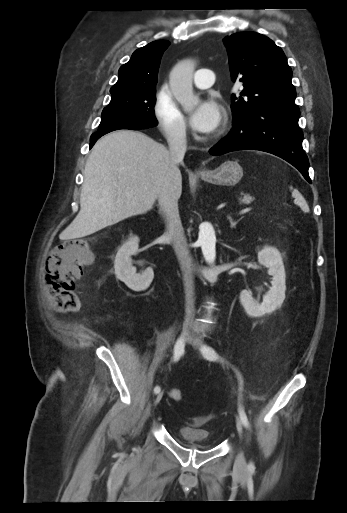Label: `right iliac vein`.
<instances>
[{
	"instance_id": "1",
	"label": "right iliac vein",
	"mask_w": 347,
	"mask_h": 513,
	"mask_svg": "<svg viewBox=\"0 0 347 513\" xmlns=\"http://www.w3.org/2000/svg\"><path fill=\"white\" fill-rule=\"evenodd\" d=\"M190 329H191L190 328V324L188 322H185L184 325H183V331H182V334H181V338L185 342H187L189 340ZM162 397H163V392L158 393V395L156 396V398L154 400V405L155 406L161 401Z\"/></svg>"
}]
</instances>
